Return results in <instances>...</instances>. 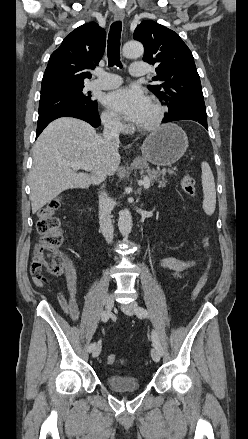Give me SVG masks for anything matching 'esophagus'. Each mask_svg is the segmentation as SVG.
<instances>
[{"mask_svg":"<svg viewBox=\"0 0 248 439\" xmlns=\"http://www.w3.org/2000/svg\"><path fill=\"white\" fill-rule=\"evenodd\" d=\"M125 18L124 11L122 9H116L114 13V19L117 21H123Z\"/></svg>","mask_w":248,"mask_h":439,"instance_id":"1","label":"esophagus"}]
</instances>
